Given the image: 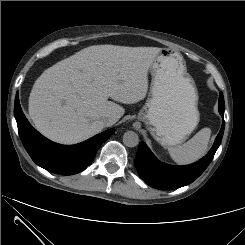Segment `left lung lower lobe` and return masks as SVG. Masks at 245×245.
I'll return each mask as SVG.
<instances>
[{"mask_svg": "<svg viewBox=\"0 0 245 245\" xmlns=\"http://www.w3.org/2000/svg\"><path fill=\"white\" fill-rule=\"evenodd\" d=\"M219 112L224 119V98L219 95ZM225 128L222 127L216 137L213 147L198 162L189 166H170L158 161L144 143H140L135 158V166L141 179L146 184L156 189L172 190L192 183L198 178L212 161L218 149Z\"/></svg>", "mask_w": 245, "mask_h": 245, "instance_id": "1", "label": "left lung lower lobe"}]
</instances>
